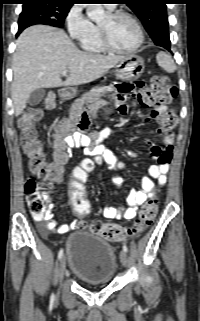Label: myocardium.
<instances>
[{"label": "myocardium", "mask_w": 200, "mask_h": 321, "mask_svg": "<svg viewBox=\"0 0 200 321\" xmlns=\"http://www.w3.org/2000/svg\"><path fill=\"white\" fill-rule=\"evenodd\" d=\"M108 16L111 19H118V18H121V17H126V18L130 19L135 24V26L137 28L138 41L131 48L120 49V48L116 47L112 43L108 30L105 27L99 25L98 26L99 36H100V41H101L103 47L107 51H110V52H113V53H117V54H131V53L136 52L143 45L144 40H145L143 27H142L140 21L138 20V18L135 15H133V14L127 12V11H124V10L112 11V12H110L108 14Z\"/></svg>", "instance_id": "f54148a6"}]
</instances>
